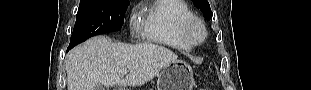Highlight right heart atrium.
I'll list each match as a JSON object with an SVG mask.
<instances>
[{"label":"right heart atrium","instance_id":"right-heart-atrium-1","mask_svg":"<svg viewBox=\"0 0 311 90\" xmlns=\"http://www.w3.org/2000/svg\"><path fill=\"white\" fill-rule=\"evenodd\" d=\"M130 28L132 32L136 31L137 29V21L134 15H131L130 18Z\"/></svg>","mask_w":311,"mask_h":90}]
</instances>
